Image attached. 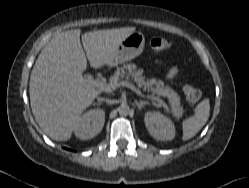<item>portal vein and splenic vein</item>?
<instances>
[{
    "label": "portal vein and splenic vein",
    "instance_id": "obj_1",
    "mask_svg": "<svg viewBox=\"0 0 249 188\" xmlns=\"http://www.w3.org/2000/svg\"><path fill=\"white\" fill-rule=\"evenodd\" d=\"M84 81L97 88V89H100L102 91H105V92H110L112 90H115L116 88L120 87V86H125V87H128L130 88L131 90H133L135 93H137L138 95L140 96H144L142 94V92L135 86L133 85L132 83L128 82V81H122L120 82L119 84H107V83H104V82H101V81H98V80H95L91 77H87V78H84ZM149 99H152V100H156V98H153L151 96H148Z\"/></svg>",
    "mask_w": 249,
    "mask_h": 188
}]
</instances>
